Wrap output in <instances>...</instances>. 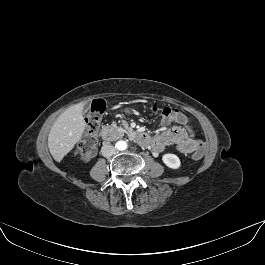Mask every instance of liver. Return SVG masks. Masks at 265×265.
Masks as SVG:
<instances>
[{
    "label": "liver",
    "instance_id": "liver-1",
    "mask_svg": "<svg viewBox=\"0 0 265 265\" xmlns=\"http://www.w3.org/2000/svg\"><path fill=\"white\" fill-rule=\"evenodd\" d=\"M83 103L68 108L54 122L48 135V148L55 161L60 162L81 140L85 129Z\"/></svg>",
    "mask_w": 265,
    "mask_h": 265
}]
</instances>
